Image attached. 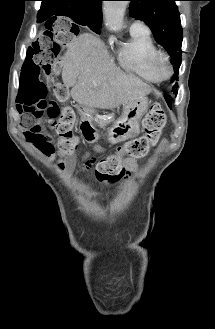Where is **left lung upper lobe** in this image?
Returning a JSON list of instances; mask_svg holds the SVG:
<instances>
[{"label":"left lung upper lobe","mask_w":215,"mask_h":329,"mask_svg":"<svg viewBox=\"0 0 215 329\" xmlns=\"http://www.w3.org/2000/svg\"><path fill=\"white\" fill-rule=\"evenodd\" d=\"M130 13L143 20L152 30L156 41L165 47L171 55L175 74L172 80H178L181 65L182 27L180 15L175 4L177 0H129ZM177 88V85H175ZM173 91L177 94V90Z\"/></svg>","instance_id":"left-lung-upper-lobe-1"}]
</instances>
